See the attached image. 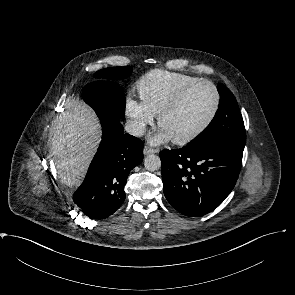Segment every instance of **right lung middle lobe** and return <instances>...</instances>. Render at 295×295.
Here are the masks:
<instances>
[{
	"label": "right lung middle lobe",
	"mask_w": 295,
	"mask_h": 295,
	"mask_svg": "<svg viewBox=\"0 0 295 295\" xmlns=\"http://www.w3.org/2000/svg\"><path fill=\"white\" fill-rule=\"evenodd\" d=\"M131 73L130 66L105 68L97 71L94 76L106 81L91 82L83 88V100L95 110L99 119L119 121L123 117V90L113 80L125 79Z\"/></svg>",
	"instance_id": "right-lung-middle-lobe-1"
}]
</instances>
